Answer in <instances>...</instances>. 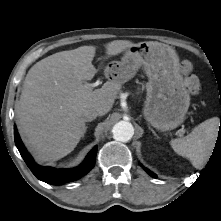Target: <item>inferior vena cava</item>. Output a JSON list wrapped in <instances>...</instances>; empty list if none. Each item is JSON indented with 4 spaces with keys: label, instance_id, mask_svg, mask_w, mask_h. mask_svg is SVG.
Segmentation results:
<instances>
[{
    "label": "inferior vena cava",
    "instance_id": "obj_1",
    "mask_svg": "<svg viewBox=\"0 0 221 221\" xmlns=\"http://www.w3.org/2000/svg\"><path fill=\"white\" fill-rule=\"evenodd\" d=\"M99 115V109L97 107H90L83 110L82 117L85 122L94 120Z\"/></svg>",
    "mask_w": 221,
    "mask_h": 221
}]
</instances>
